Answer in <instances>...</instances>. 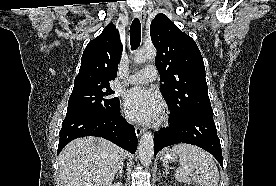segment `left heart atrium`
<instances>
[{
	"label": "left heart atrium",
	"instance_id": "1",
	"mask_svg": "<svg viewBox=\"0 0 276 186\" xmlns=\"http://www.w3.org/2000/svg\"><path fill=\"white\" fill-rule=\"evenodd\" d=\"M124 108L126 114L139 122H150L161 113L159 97L151 90L134 88L125 94Z\"/></svg>",
	"mask_w": 276,
	"mask_h": 186
}]
</instances>
